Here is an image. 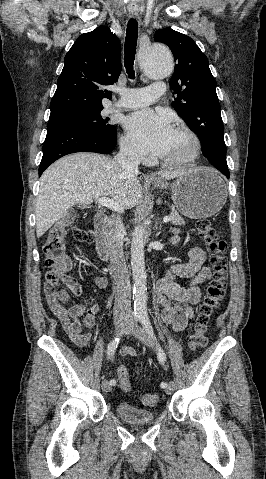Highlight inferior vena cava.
<instances>
[{
    "label": "inferior vena cava",
    "instance_id": "obj_1",
    "mask_svg": "<svg viewBox=\"0 0 266 479\" xmlns=\"http://www.w3.org/2000/svg\"><path fill=\"white\" fill-rule=\"evenodd\" d=\"M140 155L129 143H121L120 151L115 161L120 167L131 174H138ZM125 228L120 216H113L106 229L107 244L110 255V264L115 282L114 318L128 319L131 310V285L128 269L123 253V237Z\"/></svg>",
    "mask_w": 266,
    "mask_h": 479
}]
</instances>
